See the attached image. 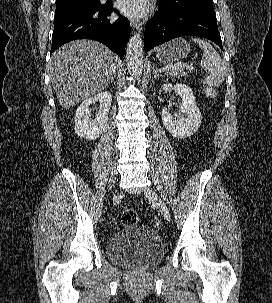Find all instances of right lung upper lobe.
<instances>
[{"label":"right lung upper lobe","instance_id":"1","mask_svg":"<svg viewBox=\"0 0 272 303\" xmlns=\"http://www.w3.org/2000/svg\"><path fill=\"white\" fill-rule=\"evenodd\" d=\"M64 1H70V0H56V3L64 2Z\"/></svg>","mask_w":272,"mask_h":303}]
</instances>
